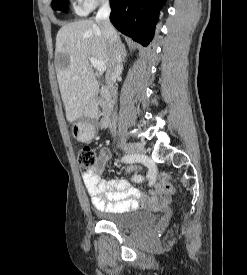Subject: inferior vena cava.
I'll list each match as a JSON object with an SVG mask.
<instances>
[{
    "instance_id": "602c4592",
    "label": "inferior vena cava",
    "mask_w": 247,
    "mask_h": 275,
    "mask_svg": "<svg viewBox=\"0 0 247 275\" xmlns=\"http://www.w3.org/2000/svg\"><path fill=\"white\" fill-rule=\"evenodd\" d=\"M109 15L110 6L108 4V1H106L101 5L96 15V22L100 26L102 34L105 37L108 44L110 64L106 74V81L110 89L111 95L113 97V100L115 102L117 101V89L114 84L116 82L117 77L122 73L123 70V45L115 29L109 21ZM116 121L117 116L116 112H114L112 115V122L110 124V130L112 134L116 133Z\"/></svg>"
}]
</instances>
